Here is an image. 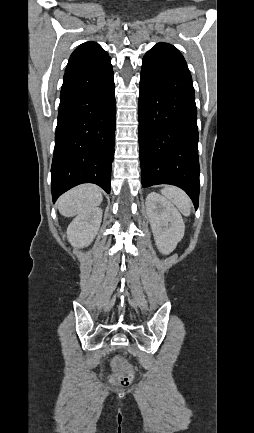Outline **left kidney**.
Masks as SVG:
<instances>
[{
	"label": "left kidney",
	"mask_w": 254,
	"mask_h": 433,
	"mask_svg": "<svg viewBox=\"0 0 254 433\" xmlns=\"http://www.w3.org/2000/svg\"><path fill=\"white\" fill-rule=\"evenodd\" d=\"M146 210L158 250L162 254H170L184 236L185 225L181 214L156 192L148 194Z\"/></svg>",
	"instance_id": "5707ae66"
}]
</instances>
